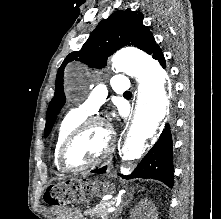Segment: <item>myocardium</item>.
<instances>
[{
    "instance_id": "f54148a6",
    "label": "myocardium",
    "mask_w": 221,
    "mask_h": 219,
    "mask_svg": "<svg viewBox=\"0 0 221 219\" xmlns=\"http://www.w3.org/2000/svg\"><path fill=\"white\" fill-rule=\"evenodd\" d=\"M94 125L102 127L106 132L107 141L103 152L96 159H94L93 161L87 164L81 166L70 165L67 161V152L70 146L84 130ZM114 144H115V137L113 130L111 126L104 119L97 116L86 118L69 132V134L61 144L58 153L59 165L66 172H80L93 168L98 164H100L101 162H103L110 155V153L114 148Z\"/></svg>"
}]
</instances>
